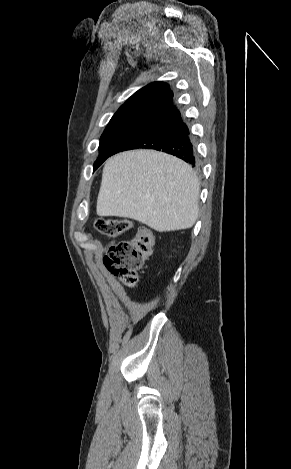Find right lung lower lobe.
<instances>
[{"label":"right lung lower lobe","instance_id":"1","mask_svg":"<svg viewBox=\"0 0 291 469\" xmlns=\"http://www.w3.org/2000/svg\"><path fill=\"white\" fill-rule=\"evenodd\" d=\"M136 148L156 149L172 154L193 167L198 165L192 135L173 103L149 118L125 138L109 156Z\"/></svg>","mask_w":291,"mask_h":469}]
</instances>
